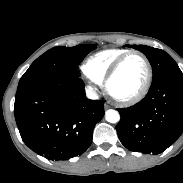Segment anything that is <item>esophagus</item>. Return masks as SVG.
Segmentation results:
<instances>
[{
    "label": "esophagus",
    "instance_id": "34e87169",
    "mask_svg": "<svg viewBox=\"0 0 183 183\" xmlns=\"http://www.w3.org/2000/svg\"><path fill=\"white\" fill-rule=\"evenodd\" d=\"M104 108H105V109H108V108H110V106H109L108 104L105 103Z\"/></svg>",
    "mask_w": 183,
    "mask_h": 183
}]
</instances>
